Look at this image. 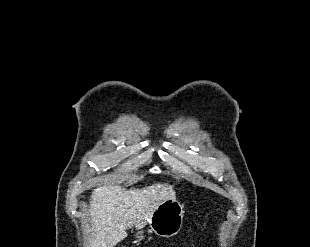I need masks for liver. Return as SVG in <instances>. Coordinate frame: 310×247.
<instances>
[{
	"label": "liver",
	"instance_id": "1",
	"mask_svg": "<svg viewBox=\"0 0 310 247\" xmlns=\"http://www.w3.org/2000/svg\"><path fill=\"white\" fill-rule=\"evenodd\" d=\"M176 199L172 185L158 183L142 189L105 185L92 191L90 217L92 238L89 247H114L127 237L126 230L145 227L156 207Z\"/></svg>",
	"mask_w": 310,
	"mask_h": 247
}]
</instances>
